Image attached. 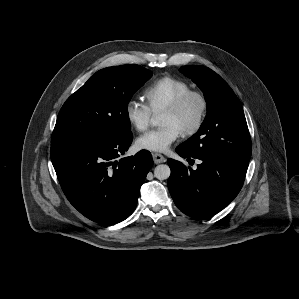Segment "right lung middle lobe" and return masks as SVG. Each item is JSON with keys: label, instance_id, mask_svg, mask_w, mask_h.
<instances>
[{"label": "right lung middle lobe", "instance_id": "dd1d6c3e", "mask_svg": "<svg viewBox=\"0 0 299 299\" xmlns=\"http://www.w3.org/2000/svg\"><path fill=\"white\" fill-rule=\"evenodd\" d=\"M152 76L138 65L96 72L62 106L52 136L104 138L131 133L128 103Z\"/></svg>", "mask_w": 299, "mask_h": 299}]
</instances>
